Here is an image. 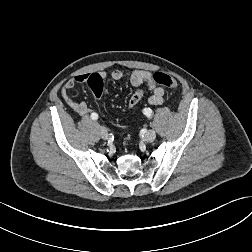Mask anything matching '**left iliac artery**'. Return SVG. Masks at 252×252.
Masks as SVG:
<instances>
[{
	"instance_id": "1",
	"label": "left iliac artery",
	"mask_w": 252,
	"mask_h": 252,
	"mask_svg": "<svg viewBox=\"0 0 252 252\" xmlns=\"http://www.w3.org/2000/svg\"><path fill=\"white\" fill-rule=\"evenodd\" d=\"M142 113L145 114L148 118H151L152 116V110L149 109L148 107H143Z\"/></svg>"
}]
</instances>
